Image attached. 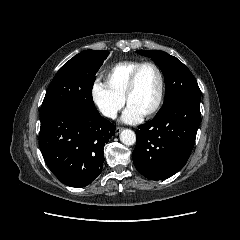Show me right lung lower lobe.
I'll use <instances>...</instances> for the list:
<instances>
[{"label":"right lung lower lobe","mask_w":240,"mask_h":240,"mask_svg":"<svg viewBox=\"0 0 240 240\" xmlns=\"http://www.w3.org/2000/svg\"><path fill=\"white\" fill-rule=\"evenodd\" d=\"M39 145L52 173L71 187H85L101 173L104 145L115 126L100 116L73 108L40 115Z\"/></svg>","instance_id":"obj_1"}]
</instances>
